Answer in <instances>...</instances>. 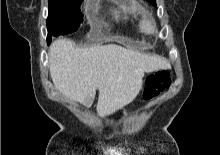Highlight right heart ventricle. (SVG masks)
Segmentation results:
<instances>
[{
  "mask_svg": "<svg viewBox=\"0 0 220 155\" xmlns=\"http://www.w3.org/2000/svg\"><path fill=\"white\" fill-rule=\"evenodd\" d=\"M126 25L137 29L136 20L134 18H128L126 21Z\"/></svg>",
  "mask_w": 220,
  "mask_h": 155,
  "instance_id": "obj_1",
  "label": "right heart ventricle"
}]
</instances>
